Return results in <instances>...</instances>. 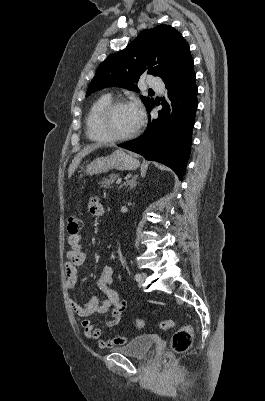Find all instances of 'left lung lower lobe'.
Wrapping results in <instances>:
<instances>
[{
	"instance_id": "0a47b994",
	"label": "left lung lower lobe",
	"mask_w": 265,
	"mask_h": 401,
	"mask_svg": "<svg viewBox=\"0 0 265 401\" xmlns=\"http://www.w3.org/2000/svg\"><path fill=\"white\" fill-rule=\"evenodd\" d=\"M171 104L163 102L157 119L149 116L145 132L119 147L141 154L172 168L182 180L190 153L197 109V86L193 59L188 57L171 79L164 82ZM155 103L148 109V112Z\"/></svg>"
}]
</instances>
